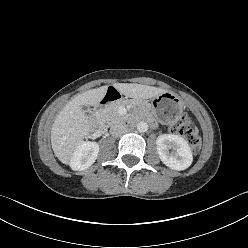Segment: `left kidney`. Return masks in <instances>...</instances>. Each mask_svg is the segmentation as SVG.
I'll return each instance as SVG.
<instances>
[{
	"label": "left kidney",
	"instance_id": "1",
	"mask_svg": "<svg viewBox=\"0 0 248 248\" xmlns=\"http://www.w3.org/2000/svg\"><path fill=\"white\" fill-rule=\"evenodd\" d=\"M156 145L161 161L169 168L181 171L191 165L192 151L188 142L182 137L174 134H162L157 137Z\"/></svg>",
	"mask_w": 248,
	"mask_h": 248
}]
</instances>
